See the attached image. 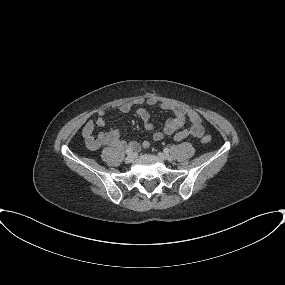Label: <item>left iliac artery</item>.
I'll use <instances>...</instances> for the list:
<instances>
[{
    "instance_id": "left-iliac-artery-1",
    "label": "left iliac artery",
    "mask_w": 285,
    "mask_h": 285,
    "mask_svg": "<svg viewBox=\"0 0 285 285\" xmlns=\"http://www.w3.org/2000/svg\"><path fill=\"white\" fill-rule=\"evenodd\" d=\"M169 151H170L169 148H165V149H164V152H165V153H169Z\"/></svg>"
}]
</instances>
